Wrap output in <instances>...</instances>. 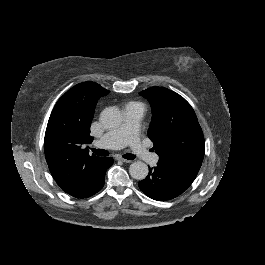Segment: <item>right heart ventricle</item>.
Masks as SVG:
<instances>
[{
  "mask_svg": "<svg viewBox=\"0 0 265 265\" xmlns=\"http://www.w3.org/2000/svg\"><path fill=\"white\" fill-rule=\"evenodd\" d=\"M126 106H135V107H139V108L142 107V105L139 102H135V101L129 102Z\"/></svg>",
  "mask_w": 265,
  "mask_h": 265,
  "instance_id": "1",
  "label": "right heart ventricle"
}]
</instances>
